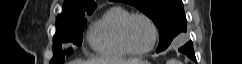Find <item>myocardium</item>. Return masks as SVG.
<instances>
[{
  "label": "myocardium",
  "mask_w": 242,
  "mask_h": 64,
  "mask_svg": "<svg viewBox=\"0 0 242 64\" xmlns=\"http://www.w3.org/2000/svg\"><path fill=\"white\" fill-rule=\"evenodd\" d=\"M134 18H143L144 20H146L148 22V24L150 25V27L152 29L153 39H152L151 45L147 49L135 50L129 43L127 32H128L129 24ZM158 35H159L158 28H157L155 22L148 15H146L144 13H140V12L130 13L128 16L125 17V19L123 20L121 27H120L121 43H122L123 47L125 48V50L131 55L143 56V55H146V54L150 53L151 51H153V49L155 48L157 41H158Z\"/></svg>",
  "instance_id": "myocardium-1"
}]
</instances>
